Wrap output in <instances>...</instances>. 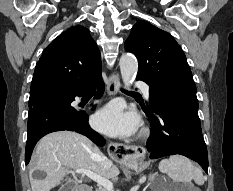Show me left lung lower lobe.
I'll return each mask as SVG.
<instances>
[{
  "instance_id": "obj_1",
  "label": "left lung lower lobe",
  "mask_w": 233,
  "mask_h": 191,
  "mask_svg": "<svg viewBox=\"0 0 233 191\" xmlns=\"http://www.w3.org/2000/svg\"><path fill=\"white\" fill-rule=\"evenodd\" d=\"M143 110L152 121V134L146 144L151 159L180 154L198 162L208 173L197 100L177 94H157Z\"/></svg>"
}]
</instances>
